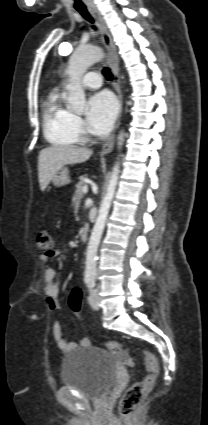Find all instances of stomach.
<instances>
[{
	"mask_svg": "<svg viewBox=\"0 0 208 425\" xmlns=\"http://www.w3.org/2000/svg\"><path fill=\"white\" fill-rule=\"evenodd\" d=\"M71 182L69 170L67 167L59 169L52 178V183L57 186H65Z\"/></svg>",
	"mask_w": 208,
	"mask_h": 425,
	"instance_id": "0dacf381",
	"label": "stomach"
}]
</instances>
